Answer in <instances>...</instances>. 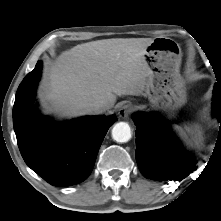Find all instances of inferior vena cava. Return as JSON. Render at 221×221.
I'll return each instance as SVG.
<instances>
[{
	"label": "inferior vena cava",
	"mask_w": 221,
	"mask_h": 221,
	"mask_svg": "<svg viewBox=\"0 0 221 221\" xmlns=\"http://www.w3.org/2000/svg\"><path fill=\"white\" fill-rule=\"evenodd\" d=\"M110 106L105 102H95L86 106L85 111L87 114L95 115L101 114L108 110Z\"/></svg>",
	"instance_id": "602c4592"
}]
</instances>
